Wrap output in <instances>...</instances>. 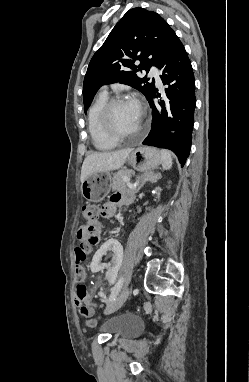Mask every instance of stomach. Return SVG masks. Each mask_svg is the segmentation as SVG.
I'll list each match as a JSON object with an SVG mask.
<instances>
[{"mask_svg": "<svg viewBox=\"0 0 249 382\" xmlns=\"http://www.w3.org/2000/svg\"><path fill=\"white\" fill-rule=\"evenodd\" d=\"M161 163L160 151L154 147H137L128 156V164L142 172H152ZM110 174L96 172L89 175L81 185L83 197L89 202H100L110 192Z\"/></svg>", "mask_w": 249, "mask_h": 382, "instance_id": "0dacf381", "label": "stomach"}]
</instances>
